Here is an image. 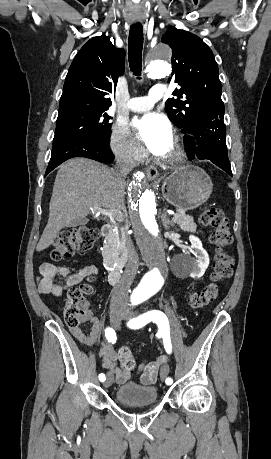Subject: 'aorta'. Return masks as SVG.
Here are the masks:
<instances>
[{
	"instance_id": "aorta-1",
	"label": "aorta",
	"mask_w": 271,
	"mask_h": 459,
	"mask_svg": "<svg viewBox=\"0 0 271 459\" xmlns=\"http://www.w3.org/2000/svg\"><path fill=\"white\" fill-rule=\"evenodd\" d=\"M170 56V48L161 44L147 65V76L153 79L168 76L171 66L166 60ZM129 216L137 246L143 260L149 266V271L141 280L139 289L147 295H153L164 284L163 276L167 270V259L165 244L157 222L156 197L146 186L143 172H137L130 185Z\"/></svg>"
}]
</instances>
